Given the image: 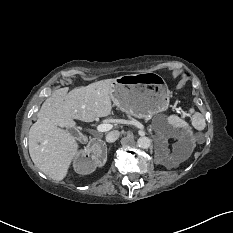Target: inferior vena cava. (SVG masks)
Segmentation results:
<instances>
[{"instance_id": "602c4592", "label": "inferior vena cava", "mask_w": 233, "mask_h": 233, "mask_svg": "<svg viewBox=\"0 0 233 233\" xmlns=\"http://www.w3.org/2000/svg\"><path fill=\"white\" fill-rule=\"evenodd\" d=\"M119 131L115 130V131H111L106 135V141L111 143V142H115L118 138H119Z\"/></svg>"}]
</instances>
